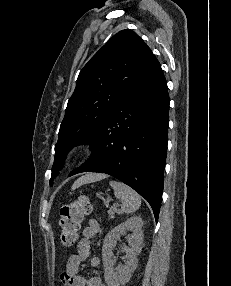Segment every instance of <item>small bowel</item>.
I'll use <instances>...</instances> for the list:
<instances>
[{
  "instance_id": "1",
  "label": "small bowel",
  "mask_w": 231,
  "mask_h": 286,
  "mask_svg": "<svg viewBox=\"0 0 231 286\" xmlns=\"http://www.w3.org/2000/svg\"><path fill=\"white\" fill-rule=\"evenodd\" d=\"M99 230L98 221L90 219L82 231V238L77 245L76 252L69 257L65 269L61 273L60 279L63 286H105L100 278V259L98 257L90 259L91 277L79 274L81 264L90 256L91 241Z\"/></svg>"
}]
</instances>
